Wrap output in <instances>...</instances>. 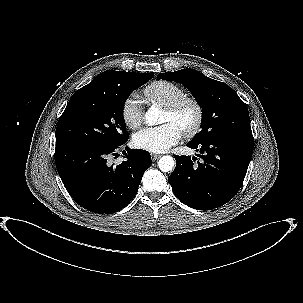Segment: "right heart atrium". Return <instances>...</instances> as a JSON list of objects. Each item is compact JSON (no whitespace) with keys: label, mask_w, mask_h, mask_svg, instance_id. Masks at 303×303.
Listing matches in <instances>:
<instances>
[{"label":"right heart atrium","mask_w":303,"mask_h":303,"mask_svg":"<svg viewBox=\"0 0 303 303\" xmlns=\"http://www.w3.org/2000/svg\"><path fill=\"white\" fill-rule=\"evenodd\" d=\"M122 119L130 129H137L144 119V106L141 98L136 93L129 94L121 106Z\"/></svg>","instance_id":"1"}]
</instances>
